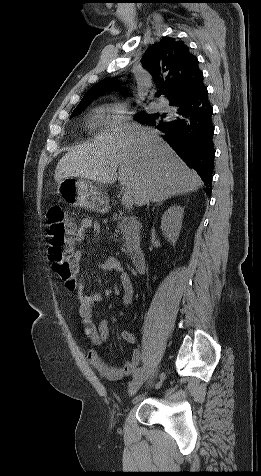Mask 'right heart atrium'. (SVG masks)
Wrapping results in <instances>:
<instances>
[{"instance_id":"right-heart-atrium-1","label":"right heart atrium","mask_w":261,"mask_h":476,"mask_svg":"<svg viewBox=\"0 0 261 476\" xmlns=\"http://www.w3.org/2000/svg\"><path fill=\"white\" fill-rule=\"evenodd\" d=\"M105 110L108 113V123L111 126L124 124L130 121L133 116V111L122 104H110Z\"/></svg>"}]
</instances>
